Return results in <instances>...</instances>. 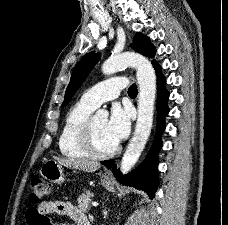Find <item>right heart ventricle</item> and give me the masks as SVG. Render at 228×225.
<instances>
[{
	"instance_id": "e07e8e85",
	"label": "right heart ventricle",
	"mask_w": 228,
	"mask_h": 225,
	"mask_svg": "<svg viewBox=\"0 0 228 225\" xmlns=\"http://www.w3.org/2000/svg\"><path fill=\"white\" fill-rule=\"evenodd\" d=\"M95 108L81 101H77L67 112L58 147L60 153L71 159H85L93 155L84 149L81 143V134L85 122Z\"/></svg>"
}]
</instances>
